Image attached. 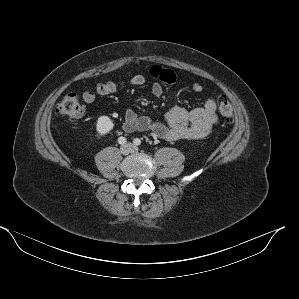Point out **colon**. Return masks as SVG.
<instances>
[{"label": "colon", "instance_id": "1", "mask_svg": "<svg viewBox=\"0 0 299 299\" xmlns=\"http://www.w3.org/2000/svg\"><path fill=\"white\" fill-rule=\"evenodd\" d=\"M216 102L218 111L224 118V121L229 124L232 123L233 108L231 103L223 97L218 98ZM56 112L60 117H65L76 121L83 116L84 107L80 101L78 94L68 93L58 104Z\"/></svg>", "mask_w": 299, "mask_h": 299}]
</instances>
